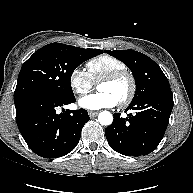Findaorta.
<instances>
[{
    "mask_svg": "<svg viewBox=\"0 0 193 193\" xmlns=\"http://www.w3.org/2000/svg\"><path fill=\"white\" fill-rule=\"evenodd\" d=\"M98 122L101 125H111L113 122V115L108 111H103L98 115Z\"/></svg>",
    "mask_w": 193,
    "mask_h": 193,
    "instance_id": "762f6f07",
    "label": "aorta"
}]
</instances>
